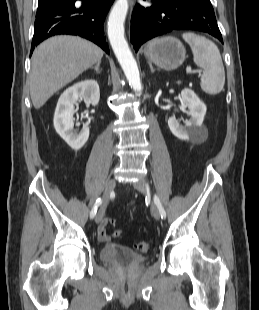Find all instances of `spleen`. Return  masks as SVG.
Instances as JSON below:
<instances>
[{
  "label": "spleen",
  "mask_w": 259,
  "mask_h": 310,
  "mask_svg": "<svg viewBox=\"0 0 259 310\" xmlns=\"http://www.w3.org/2000/svg\"><path fill=\"white\" fill-rule=\"evenodd\" d=\"M183 39L190 45L193 60L203 69L201 88L205 93L216 95L223 90L225 70L218 47L211 40L193 32L182 34Z\"/></svg>",
  "instance_id": "obj_1"
}]
</instances>
